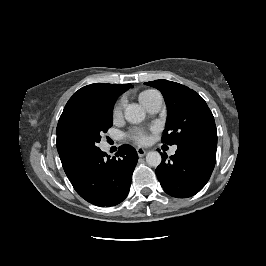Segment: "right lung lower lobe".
Here are the masks:
<instances>
[{
    "instance_id": "obj_1",
    "label": "right lung lower lobe",
    "mask_w": 266,
    "mask_h": 266,
    "mask_svg": "<svg viewBox=\"0 0 266 266\" xmlns=\"http://www.w3.org/2000/svg\"><path fill=\"white\" fill-rule=\"evenodd\" d=\"M138 155L130 145H122L116 157L99 150L90 156L70 180L76 192L97 206H114L128 195Z\"/></svg>"
}]
</instances>
